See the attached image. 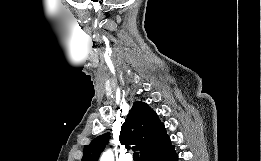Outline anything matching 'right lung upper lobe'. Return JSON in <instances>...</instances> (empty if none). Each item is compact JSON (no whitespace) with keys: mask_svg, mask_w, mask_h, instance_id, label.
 I'll list each match as a JSON object with an SVG mask.
<instances>
[{"mask_svg":"<svg viewBox=\"0 0 261 161\" xmlns=\"http://www.w3.org/2000/svg\"><path fill=\"white\" fill-rule=\"evenodd\" d=\"M109 134L96 137L89 145L84 146L81 161H97L100 153L108 144ZM120 143L129 149L140 151L141 161L150 153L170 142L164 124L157 114L144 102H134L125 122L121 127Z\"/></svg>","mask_w":261,"mask_h":161,"instance_id":"cb5924a9","label":"right lung upper lobe"}]
</instances>
